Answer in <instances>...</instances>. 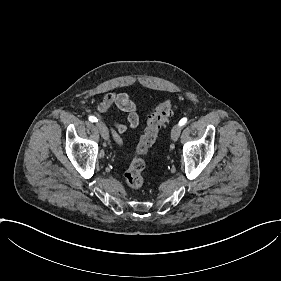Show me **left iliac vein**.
Here are the masks:
<instances>
[{
	"instance_id": "left-iliac-vein-1",
	"label": "left iliac vein",
	"mask_w": 281,
	"mask_h": 281,
	"mask_svg": "<svg viewBox=\"0 0 281 281\" xmlns=\"http://www.w3.org/2000/svg\"><path fill=\"white\" fill-rule=\"evenodd\" d=\"M181 129H182L181 127L175 126V125H174V127H173L172 130H171V136H172V138H174V139L179 138L180 133H181Z\"/></svg>"
}]
</instances>
